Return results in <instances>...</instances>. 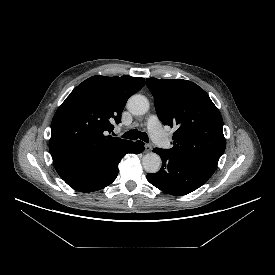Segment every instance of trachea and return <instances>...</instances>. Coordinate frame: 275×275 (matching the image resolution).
<instances>
[{
	"label": "trachea",
	"mask_w": 275,
	"mask_h": 275,
	"mask_svg": "<svg viewBox=\"0 0 275 275\" xmlns=\"http://www.w3.org/2000/svg\"><path fill=\"white\" fill-rule=\"evenodd\" d=\"M123 138L126 139H131V140H136V139H141L142 141L148 143L149 138L146 132H139L138 130H130L122 135Z\"/></svg>",
	"instance_id": "3493384b"
}]
</instances>
